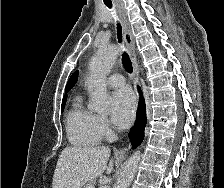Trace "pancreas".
I'll use <instances>...</instances> for the list:
<instances>
[{
    "mask_svg": "<svg viewBox=\"0 0 224 188\" xmlns=\"http://www.w3.org/2000/svg\"><path fill=\"white\" fill-rule=\"evenodd\" d=\"M91 186H94V181H90L87 184L84 185L83 188H90Z\"/></svg>",
    "mask_w": 224,
    "mask_h": 188,
    "instance_id": "obj_1",
    "label": "pancreas"
}]
</instances>
